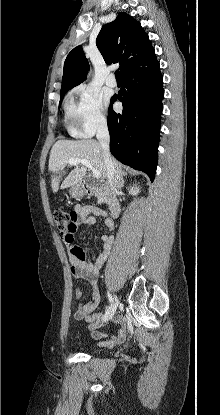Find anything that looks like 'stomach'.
I'll return each instance as SVG.
<instances>
[{
  "mask_svg": "<svg viewBox=\"0 0 220 415\" xmlns=\"http://www.w3.org/2000/svg\"><path fill=\"white\" fill-rule=\"evenodd\" d=\"M69 193L72 197L78 198V197H82L86 193V190H85L84 185L77 184L70 188Z\"/></svg>",
  "mask_w": 220,
  "mask_h": 415,
  "instance_id": "obj_1",
  "label": "stomach"
}]
</instances>
